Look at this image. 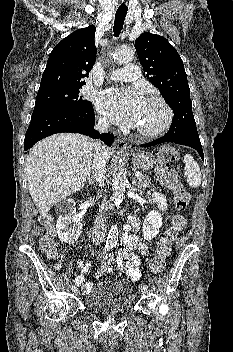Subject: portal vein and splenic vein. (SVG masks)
I'll list each match as a JSON object with an SVG mask.
<instances>
[{"mask_svg": "<svg viewBox=\"0 0 233 352\" xmlns=\"http://www.w3.org/2000/svg\"><path fill=\"white\" fill-rule=\"evenodd\" d=\"M135 176H136V177H140V176H141V173L136 172V173H135Z\"/></svg>", "mask_w": 233, "mask_h": 352, "instance_id": "portal-vein-and-splenic-vein-1", "label": "portal vein and splenic vein"}]
</instances>
